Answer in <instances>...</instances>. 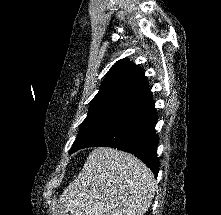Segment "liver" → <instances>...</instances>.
<instances>
[{"mask_svg": "<svg viewBox=\"0 0 221 215\" xmlns=\"http://www.w3.org/2000/svg\"><path fill=\"white\" fill-rule=\"evenodd\" d=\"M154 193V176L141 160L98 147L58 203L66 205L71 215H144Z\"/></svg>", "mask_w": 221, "mask_h": 215, "instance_id": "obj_1", "label": "liver"}]
</instances>
